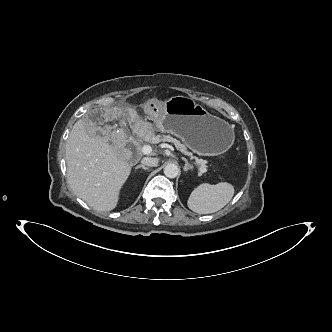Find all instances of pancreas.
I'll return each mask as SVG.
<instances>
[{"instance_id":"1","label":"pancreas","mask_w":332,"mask_h":332,"mask_svg":"<svg viewBox=\"0 0 332 332\" xmlns=\"http://www.w3.org/2000/svg\"><path fill=\"white\" fill-rule=\"evenodd\" d=\"M150 143L152 144H158V143H161V142H169V143H173L176 148L179 150V151H185L186 155H188L191 159H195V164L197 165L198 167V171L199 172H206L207 171V166H206V162L202 159H199L198 157L196 156H193V154L189 151H187V148L184 144H182L179 140H177L176 138L172 137L171 135H157V136H152L150 138ZM203 170H205L203 172Z\"/></svg>"}]
</instances>
